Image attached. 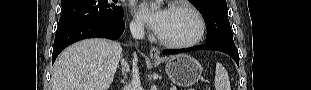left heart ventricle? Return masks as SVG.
<instances>
[{
  "label": "left heart ventricle",
  "instance_id": "1",
  "mask_svg": "<svg viewBox=\"0 0 311 90\" xmlns=\"http://www.w3.org/2000/svg\"><path fill=\"white\" fill-rule=\"evenodd\" d=\"M197 31L194 17L186 11L172 9L164 29L159 34L164 39L172 41H185L191 39Z\"/></svg>",
  "mask_w": 311,
  "mask_h": 90
}]
</instances>
